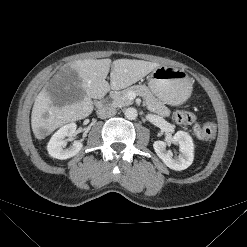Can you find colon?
I'll return each instance as SVG.
<instances>
[{
	"instance_id": "colon-1",
	"label": "colon",
	"mask_w": 247,
	"mask_h": 247,
	"mask_svg": "<svg viewBox=\"0 0 247 247\" xmlns=\"http://www.w3.org/2000/svg\"><path fill=\"white\" fill-rule=\"evenodd\" d=\"M175 120L179 124L193 125V131L196 136L203 140H211L215 137L216 126L212 123H206L204 125L195 124L197 120V114L193 109L179 110L175 114Z\"/></svg>"
}]
</instances>
